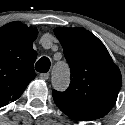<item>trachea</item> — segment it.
Here are the masks:
<instances>
[{
	"label": "trachea",
	"instance_id": "trachea-1",
	"mask_svg": "<svg viewBox=\"0 0 125 125\" xmlns=\"http://www.w3.org/2000/svg\"><path fill=\"white\" fill-rule=\"evenodd\" d=\"M50 65H51V62H50L49 58L41 57L37 61L36 65H35V69L40 73H46L49 71Z\"/></svg>",
	"mask_w": 125,
	"mask_h": 125
}]
</instances>
